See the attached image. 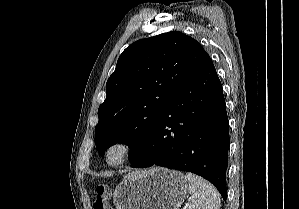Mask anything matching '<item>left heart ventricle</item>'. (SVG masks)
Returning <instances> with one entry per match:
<instances>
[{"instance_id":"1","label":"left heart ventricle","mask_w":299,"mask_h":209,"mask_svg":"<svg viewBox=\"0 0 299 209\" xmlns=\"http://www.w3.org/2000/svg\"><path fill=\"white\" fill-rule=\"evenodd\" d=\"M110 160L111 161H116L120 157V150L118 148L113 149L110 152Z\"/></svg>"}]
</instances>
